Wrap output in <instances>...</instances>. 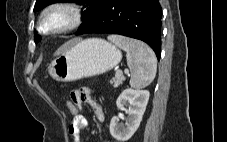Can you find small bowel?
Here are the masks:
<instances>
[{
  "instance_id": "small-bowel-1",
  "label": "small bowel",
  "mask_w": 227,
  "mask_h": 142,
  "mask_svg": "<svg viewBox=\"0 0 227 142\" xmlns=\"http://www.w3.org/2000/svg\"><path fill=\"white\" fill-rule=\"evenodd\" d=\"M93 93V90L85 87L73 90L70 94L72 102L78 106L82 113L81 117L74 119L69 126V134L73 138V142H80V133L88 124L87 118L83 113V104L87 103L92 106L99 121L103 122L106 120L103 109L92 99Z\"/></svg>"
}]
</instances>
